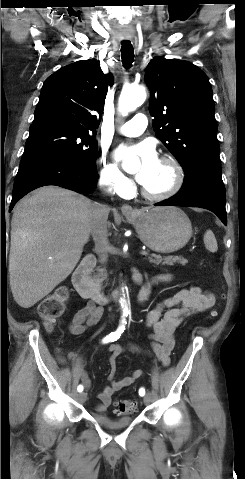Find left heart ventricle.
Returning <instances> with one entry per match:
<instances>
[{"label": "left heart ventricle", "mask_w": 245, "mask_h": 479, "mask_svg": "<svg viewBox=\"0 0 245 479\" xmlns=\"http://www.w3.org/2000/svg\"><path fill=\"white\" fill-rule=\"evenodd\" d=\"M172 177L171 167L167 163L159 161L143 187L152 193H160L170 186Z\"/></svg>", "instance_id": "1"}]
</instances>
